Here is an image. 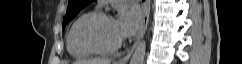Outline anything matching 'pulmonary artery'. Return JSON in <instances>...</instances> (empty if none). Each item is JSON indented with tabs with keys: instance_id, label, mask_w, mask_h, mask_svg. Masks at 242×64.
<instances>
[{
	"instance_id": "e3ab8cb5",
	"label": "pulmonary artery",
	"mask_w": 242,
	"mask_h": 64,
	"mask_svg": "<svg viewBox=\"0 0 242 64\" xmlns=\"http://www.w3.org/2000/svg\"><path fill=\"white\" fill-rule=\"evenodd\" d=\"M115 2H119V1H115ZM104 4H105L104 1H100V2H99V5H100V6H103Z\"/></svg>"
}]
</instances>
